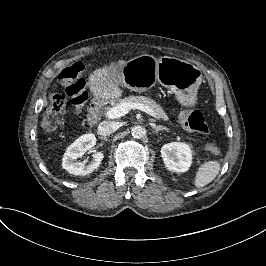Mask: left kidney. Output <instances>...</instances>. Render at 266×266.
I'll return each mask as SVG.
<instances>
[{"label":"left kidney","mask_w":266,"mask_h":266,"mask_svg":"<svg viewBox=\"0 0 266 266\" xmlns=\"http://www.w3.org/2000/svg\"><path fill=\"white\" fill-rule=\"evenodd\" d=\"M161 155L169 170L185 172L191 164V147L187 144H166L161 149Z\"/></svg>","instance_id":"left-kidney-1"}]
</instances>
